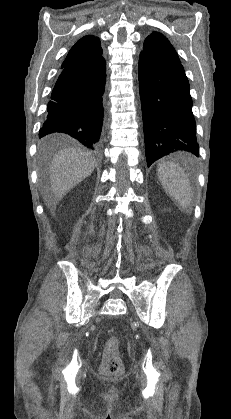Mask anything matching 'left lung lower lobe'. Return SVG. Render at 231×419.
Instances as JSON below:
<instances>
[{
	"mask_svg": "<svg viewBox=\"0 0 231 419\" xmlns=\"http://www.w3.org/2000/svg\"><path fill=\"white\" fill-rule=\"evenodd\" d=\"M138 76L148 166L178 151L198 156L190 86L181 63L141 52Z\"/></svg>",
	"mask_w": 231,
	"mask_h": 419,
	"instance_id": "0a47b994",
	"label": "left lung lower lobe"
}]
</instances>
